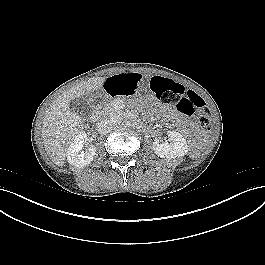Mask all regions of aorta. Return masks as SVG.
I'll use <instances>...</instances> for the list:
<instances>
[{
    "label": "aorta",
    "mask_w": 265,
    "mask_h": 265,
    "mask_svg": "<svg viewBox=\"0 0 265 265\" xmlns=\"http://www.w3.org/2000/svg\"><path fill=\"white\" fill-rule=\"evenodd\" d=\"M110 121L112 122V124L114 126H118L123 122V117L121 114L118 113H114L111 117H110Z\"/></svg>",
    "instance_id": "1"
}]
</instances>
